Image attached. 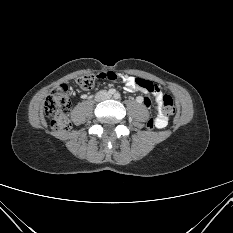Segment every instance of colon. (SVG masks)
Here are the masks:
<instances>
[{"instance_id":"colon-1","label":"colon","mask_w":233,"mask_h":233,"mask_svg":"<svg viewBox=\"0 0 233 233\" xmlns=\"http://www.w3.org/2000/svg\"><path fill=\"white\" fill-rule=\"evenodd\" d=\"M96 77L90 74L82 75L77 79L78 85L84 89L89 90L94 86ZM136 84L142 90L148 93L155 94L159 91V87L146 79L136 78ZM72 92L70 88L63 84L57 86L49 94L45 101V113L52 118L51 126L56 131H67L70 129L71 124L66 117V112L71 107ZM163 112L165 114H173L175 105L173 98L169 95L162 97ZM147 127L153 129L155 127V119H150L147 122Z\"/></svg>"}]
</instances>
